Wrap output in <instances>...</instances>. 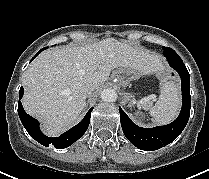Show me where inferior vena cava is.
Listing matches in <instances>:
<instances>
[{
	"instance_id": "1",
	"label": "inferior vena cava",
	"mask_w": 209,
	"mask_h": 179,
	"mask_svg": "<svg viewBox=\"0 0 209 179\" xmlns=\"http://www.w3.org/2000/svg\"><path fill=\"white\" fill-rule=\"evenodd\" d=\"M95 89V85L94 84H88L85 88H84V93L85 94H89L90 92H92Z\"/></svg>"
}]
</instances>
